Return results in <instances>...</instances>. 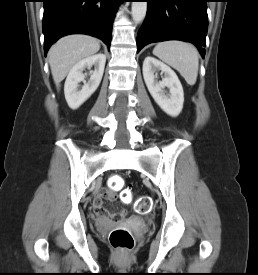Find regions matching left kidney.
<instances>
[{
	"mask_svg": "<svg viewBox=\"0 0 258 275\" xmlns=\"http://www.w3.org/2000/svg\"><path fill=\"white\" fill-rule=\"evenodd\" d=\"M161 70L164 78L158 81L155 72ZM145 84L159 107L168 115L176 117L183 108L184 92L176 73L158 59L148 56L143 62ZM168 88L169 93L165 91Z\"/></svg>",
	"mask_w": 258,
	"mask_h": 275,
	"instance_id": "1",
	"label": "left kidney"
}]
</instances>
